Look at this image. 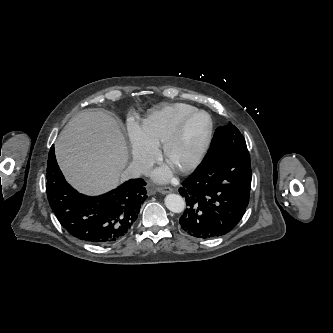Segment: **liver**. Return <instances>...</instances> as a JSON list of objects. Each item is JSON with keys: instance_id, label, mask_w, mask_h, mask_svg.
<instances>
[{"instance_id": "6515ba94", "label": "liver", "mask_w": 333, "mask_h": 333, "mask_svg": "<svg viewBox=\"0 0 333 333\" xmlns=\"http://www.w3.org/2000/svg\"><path fill=\"white\" fill-rule=\"evenodd\" d=\"M55 154L66 180L89 195L116 187L128 160L116 120L103 111L86 110L73 117L55 143Z\"/></svg>"}]
</instances>
